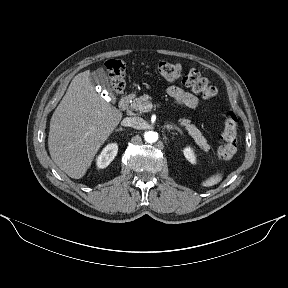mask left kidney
<instances>
[{
	"label": "left kidney",
	"instance_id": "left-kidney-1",
	"mask_svg": "<svg viewBox=\"0 0 288 288\" xmlns=\"http://www.w3.org/2000/svg\"><path fill=\"white\" fill-rule=\"evenodd\" d=\"M185 158L192 164H196L197 159L194 150L191 147H186L183 150Z\"/></svg>",
	"mask_w": 288,
	"mask_h": 288
}]
</instances>
